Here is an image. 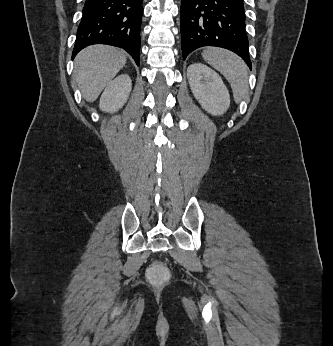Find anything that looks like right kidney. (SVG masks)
I'll return each mask as SVG.
<instances>
[{"instance_id":"ca27d5eb","label":"right kidney","mask_w":333,"mask_h":346,"mask_svg":"<svg viewBox=\"0 0 333 346\" xmlns=\"http://www.w3.org/2000/svg\"><path fill=\"white\" fill-rule=\"evenodd\" d=\"M132 83L129 75L122 74L111 81L100 98V109L105 112H115L127 101Z\"/></svg>"}]
</instances>
